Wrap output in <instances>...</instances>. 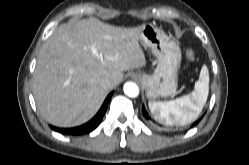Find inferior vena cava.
<instances>
[{
  "instance_id": "obj_1",
  "label": "inferior vena cava",
  "mask_w": 249,
  "mask_h": 165,
  "mask_svg": "<svg viewBox=\"0 0 249 165\" xmlns=\"http://www.w3.org/2000/svg\"><path fill=\"white\" fill-rule=\"evenodd\" d=\"M102 86L104 88H112L113 87V81L110 80V79H104L102 82H101Z\"/></svg>"
}]
</instances>
